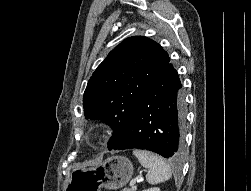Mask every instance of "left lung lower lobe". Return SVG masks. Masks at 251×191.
<instances>
[{"instance_id":"0a47b994","label":"left lung lower lobe","mask_w":251,"mask_h":191,"mask_svg":"<svg viewBox=\"0 0 251 191\" xmlns=\"http://www.w3.org/2000/svg\"><path fill=\"white\" fill-rule=\"evenodd\" d=\"M182 84L172 64L166 66L141 99L110 150L146 149L165 158L182 151L184 101Z\"/></svg>"}]
</instances>
